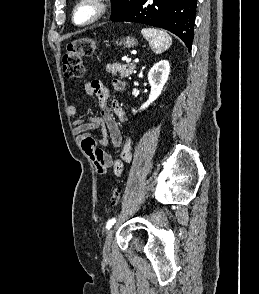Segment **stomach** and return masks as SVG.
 Returning a JSON list of instances; mask_svg holds the SVG:
<instances>
[{
  "mask_svg": "<svg viewBox=\"0 0 259 294\" xmlns=\"http://www.w3.org/2000/svg\"><path fill=\"white\" fill-rule=\"evenodd\" d=\"M115 43L118 46H124L125 48H132L137 45V40L133 37H126L124 39H121L120 41L117 40Z\"/></svg>",
  "mask_w": 259,
  "mask_h": 294,
  "instance_id": "0dacf381",
  "label": "stomach"
}]
</instances>
